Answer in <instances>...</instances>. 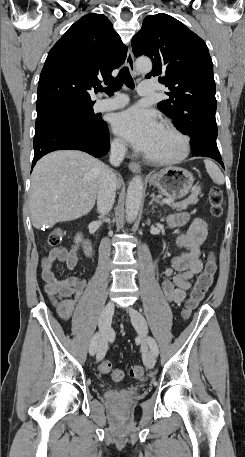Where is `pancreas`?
<instances>
[{
    "label": "pancreas",
    "mask_w": 245,
    "mask_h": 457,
    "mask_svg": "<svg viewBox=\"0 0 245 457\" xmlns=\"http://www.w3.org/2000/svg\"><path fill=\"white\" fill-rule=\"evenodd\" d=\"M198 194H201L200 186H193L191 194H189L188 198H185V200H180V202H168V204L169 206H172V208L183 210V208H187L188 204H196V202H198Z\"/></svg>",
    "instance_id": "1"
}]
</instances>
